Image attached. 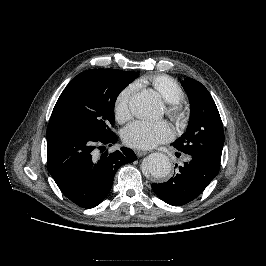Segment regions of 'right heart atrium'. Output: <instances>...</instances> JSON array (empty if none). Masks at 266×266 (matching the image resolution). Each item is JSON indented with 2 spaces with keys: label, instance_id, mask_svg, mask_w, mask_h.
<instances>
[{
  "label": "right heart atrium",
  "instance_id": "d8ad5b80",
  "mask_svg": "<svg viewBox=\"0 0 266 266\" xmlns=\"http://www.w3.org/2000/svg\"><path fill=\"white\" fill-rule=\"evenodd\" d=\"M133 87L129 86L121 90L114 101V115L117 121L125 122L131 116L130 104Z\"/></svg>",
  "mask_w": 266,
  "mask_h": 266
}]
</instances>
